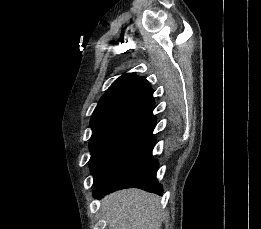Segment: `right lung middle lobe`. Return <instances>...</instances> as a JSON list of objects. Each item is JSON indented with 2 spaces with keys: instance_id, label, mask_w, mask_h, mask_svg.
Instances as JSON below:
<instances>
[{
  "instance_id": "right-lung-middle-lobe-1",
  "label": "right lung middle lobe",
  "mask_w": 261,
  "mask_h": 229,
  "mask_svg": "<svg viewBox=\"0 0 261 229\" xmlns=\"http://www.w3.org/2000/svg\"><path fill=\"white\" fill-rule=\"evenodd\" d=\"M153 130H140L137 131L132 137V146L127 149H103V148H93L91 150V159L89 166L91 168V173L94 177V183L119 159L128 156L135 150H137L141 145H143L147 140H149L153 134Z\"/></svg>"
}]
</instances>
